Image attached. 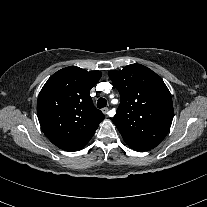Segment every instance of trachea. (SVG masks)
Instances as JSON below:
<instances>
[{
	"label": "trachea",
	"mask_w": 207,
	"mask_h": 207,
	"mask_svg": "<svg viewBox=\"0 0 207 207\" xmlns=\"http://www.w3.org/2000/svg\"><path fill=\"white\" fill-rule=\"evenodd\" d=\"M106 105H107V101H106V99H104V98H99L98 99V101H97V107L98 108H104V107H106Z\"/></svg>",
	"instance_id": "obj_1"
}]
</instances>
